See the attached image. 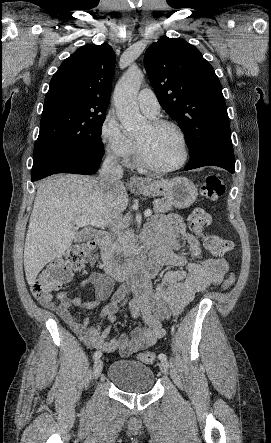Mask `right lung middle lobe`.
Masks as SVG:
<instances>
[{"label": "right lung middle lobe", "mask_w": 271, "mask_h": 443, "mask_svg": "<svg viewBox=\"0 0 271 443\" xmlns=\"http://www.w3.org/2000/svg\"><path fill=\"white\" fill-rule=\"evenodd\" d=\"M106 110L68 100L44 104L33 157L51 147L97 149L103 154L101 127Z\"/></svg>", "instance_id": "1"}]
</instances>
